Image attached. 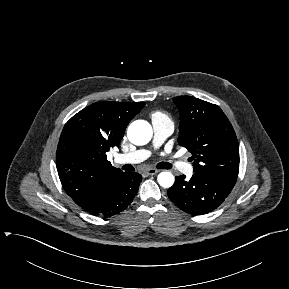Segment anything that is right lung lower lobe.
Here are the masks:
<instances>
[{
    "label": "right lung lower lobe",
    "instance_id": "obj_1",
    "mask_svg": "<svg viewBox=\"0 0 289 289\" xmlns=\"http://www.w3.org/2000/svg\"><path fill=\"white\" fill-rule=\"evenodd\" d=\"M140 182V174L124 172L104 192L80 207L95 216L108 217L117 214L133 201Z\"/></svg>",
    "mask_w": 289,
    "mask_h": 289
}]
</instances>
